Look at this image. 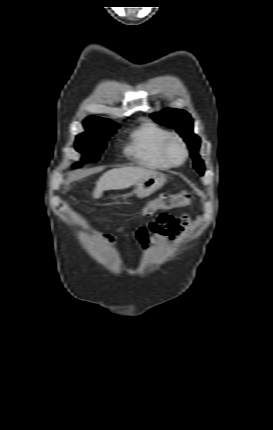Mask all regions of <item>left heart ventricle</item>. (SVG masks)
Listing matches in <instances>:
<instances>
[{
    "mask_svg": "<svg viewBox=\"0 0 273 430\" xmlns=\"http://www.w3.org/2000/svg\"><path fill=\"white\" fill-rule=\"evenodd\" d=\"M169 153L174 160H179L182 156L181 146L177 142H172L169 147Z\"/></svg>",
    "mask_w": 273,
    "mask_h": 430,
    "instance_id": "obj_1",
    "label": "left heart ventricle"
}]
</instances>
